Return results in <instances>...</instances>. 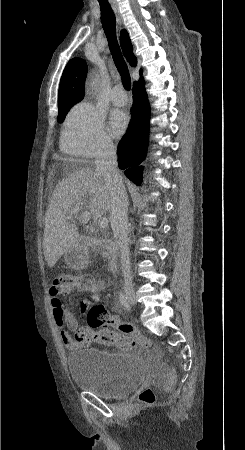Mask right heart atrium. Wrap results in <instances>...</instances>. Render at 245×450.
Here are the masks:
<instances>
[{
    "label": "right heart atrium",
    "instance_id": "right-heart-atrium-1",
    "mask_svg": "<svg viewBox=\"0 0 245 450\" xmlns=\"http://www.w3.org/2000/svg\"><path fill=\"white\" fill-rule=\"evenodd\" d=\"M61 148L65 153L83 159H93L113 149L104 117L91 103L80 102L68 112Z\"/></svg>",
    "mask_w": 245,
    "mask_h": 450
}]
</instances>
